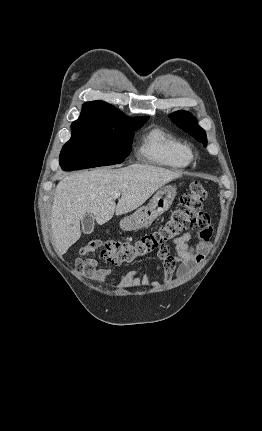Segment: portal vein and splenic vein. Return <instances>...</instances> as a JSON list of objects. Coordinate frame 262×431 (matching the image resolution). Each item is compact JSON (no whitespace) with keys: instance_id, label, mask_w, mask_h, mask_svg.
Returning <instances> with one entry per match:
<instances>
[{"instance_id":"1","label":"portal vein and splenic vein","mask_w":262,"mask_h":431,"mask_svg":"<svg viewBox=\"0 0 262 431\" xmlns=\"http://www.w3.org/2000/svg\"><path fill=\"white\" fill-rule=\"evenodd\" d=\"M120 195H121V193H120V192H114V193L112 194V198H118V197H120Z\"/></svg>"}]
</instances>
